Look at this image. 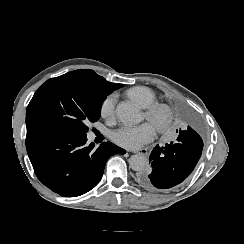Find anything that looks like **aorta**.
<instances>
[{
    "label": "aorta",
    "instance_id": "obj_1",
    "mask_svg": "<svg viewBox=\"0 0 244 244\" xmlns=\"http://www.w3.org/2000/svg\"><path fill=\"white\" fill-rule=\"evenodd\" d=\"M117 118L126 125H133L141 122L140 110L130 101H122L116 107ZM147 159L141 154L132 155L129 158L130 168L134 171H143L147 166Z\"/></svg>",
    "mask_w": 244,
    "mask_h": 244
}]
</instances>
